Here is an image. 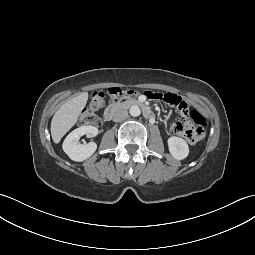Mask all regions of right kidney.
Wrapping results in <instances>:
<instances>
[{"label":"right kidney","instance_id":"1","mask_svg":"<svg viewBox=\"0 0 255 255\" xmlns=\"http://www.w3.org/2000/svg\"><path fill=\"white\" fill-rule=\"evenodd\" d=\"M98 129L94 126H81L73 130L64 140L62 148L73 161L81 162L89 158L97 149L95 142L80 144L79 140L83 135L95 137Z\"/></svg>","mask_w":255,"mask_h":255}]
</instances>
